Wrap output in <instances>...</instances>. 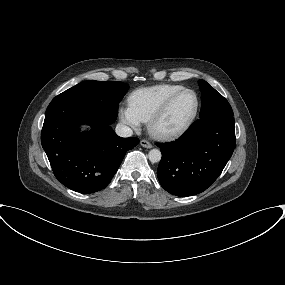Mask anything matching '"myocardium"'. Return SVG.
Segmentation results:
<instances>
[{"instance_id": "myocardium-1", "label": "myocardium", "mask_w": 285, "mask_h": 285, "mask_svg": "<svg viewBox=\"0 0 285 285\" xmlns=\"http://www.w3.org/2000/svg\"><path fill=\"white\" fill-rule=\"evenodd\" d=\"M184 93H191L193 94L195 98V107L190 115V117L179 127L175 129H164L160 126L161 120L164 118V116L167 114L169 111L170 107L174 103V101L181 96ZM199 97L197 93L188 88H183L179 90L178 92L174 93L171 95L161 106L160 108L151 116V118L148 121V131L149 133L160 140H170L177 138L181 135H183L194 123V121L197 118L198 111H199Z\"/></svg>"}]
</instances>
